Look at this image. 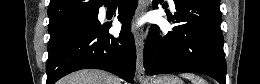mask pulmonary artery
<instances>
[{
	"mask_svg": "<svg viewBox=\"0 0 260 84\" xmlns=\"http://www.w3.org/2000/svg\"><path fill=\"white\" fill-rule=\"evenodd\" d=\"M169 3L171 4V6H173V5H174V2H173V0H169Z\"/></svg>",
	"mask_w": 260,
	"mask_h": 84,
	"instance_id": "obj_1",
	"label": "pulmonary artery"
}]
</instances>
